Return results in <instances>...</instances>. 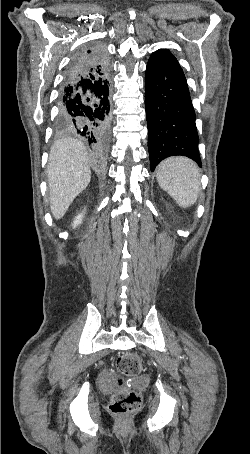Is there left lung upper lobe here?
I'll use <instances>...</instances> for the list:
<instances>
[{"mask_svg": "<svg viewBox=\"0 0 250 454\" xmlns=\"http://www.w3.org/2000/svg\"><path fill=\"white\" fill-rule=\"evenodd\" d=\"M160 51H164V52H167V53H170L168 50L166 49H160Z\"/></svg>", "mask_w": 250, "mask_h": 454, "instance_id": "obj_1", "label": "left lung upper lobe"}]
</instances>
